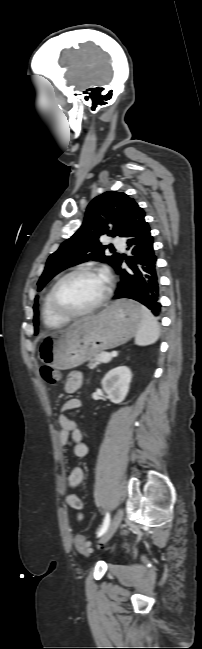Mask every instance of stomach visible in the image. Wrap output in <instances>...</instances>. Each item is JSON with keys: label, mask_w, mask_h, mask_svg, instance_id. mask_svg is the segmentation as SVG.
<instances>
[{"label": "stomach", "mask_w": 202, "mask_h": 649, "mask_svg": "<svg viewBox=\"0 0 202 649\" xmlns=\"http://www.w3.org/2000/svg\"><path fill=\"white\" fill-rule=\"evenodd\" d=\"M141 322V305L115 301L99 315L43 338L38 358L57 370L75 368L101 351L126 343L137 333Z\"/></svg>", "instance_id": "1"}]
</instances>
